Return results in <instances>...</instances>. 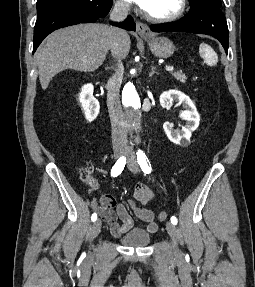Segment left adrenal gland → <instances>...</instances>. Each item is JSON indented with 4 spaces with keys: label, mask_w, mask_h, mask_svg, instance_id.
Here are the masks:
<instances>
[{
    "label": "left adrenal gland",
    "mask_w": 255,
    "mask_h": 287,
    "mask_svg": "<svg viewBox=\"0 0 255 287\" xmlns=\"http://www.w3.org/2000/svg\"><path fill=\"white\" fill-rule=\"evenodd\" d=\"M153 74H157L155 66H151V72L149 74V78H151V76H153Z\"/></svg>",
    "instance_id": "1"
}]
</instances>
